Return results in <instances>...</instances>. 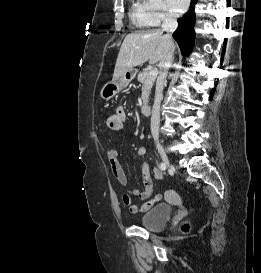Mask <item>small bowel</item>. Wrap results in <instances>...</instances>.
Segmentation results:
<instances>
[{
    "label": "small bowel",
    "mask_w": 261,
    "mask_h": 273,
    "mask_svg": "<svg viewBox=\"0 0 261 273\" xmlns=\"http://www.w3.org/2000/svg\"><path fill=\"white\" fill-rule=\"evenodd\" d=\"M115 116H119L121 119V131L123 126L127 120V113L123 106H118L113 114ZM137 154L139 158L142 160L141 166V173L143 179V188L141 190L137 188H130L128 189L122 196V202L125 206L128 207L129 211L133 214H137L140 212L148 211L154 204H156L160 199L161 196H156L155 198H151L153 185H152V178L150 174L149 166L145 160L146 157V147L141 146L139 147ZM119 152L116 148H111L107 152L108 162L110 164L113 176L115 177L116 181L125 186L127 183V178L125 171L118 159ZM155 178H160L161 174L158 171L154 173ZM138 196L142 201L141 206H138L133 202V197Z\"/></svg>",
    "instance_id": "small-bowel-1"
}]
</instances>
